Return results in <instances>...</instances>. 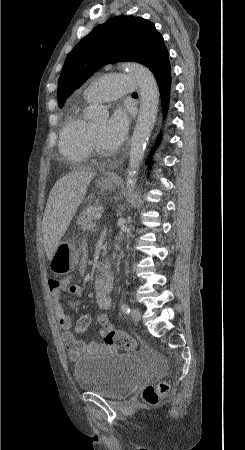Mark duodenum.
Returning a JSON list of instances; mask_svg holds the SVG:
<instances>
[{
    "instance_id": "obj_1",
    "label": "duodenum",
    "mask_w": 245,
    "mask_h": 450,
    "mask_svg": "<svg viewBox=\"0 0 245 450\" xmlns=\"http://www.w3.org/2000/svg\"><path fill=\"white\" fill-rule=\"evenodd\" d=\"M99 270H100L102 273H107V272H110V271H111V266H110V264H109L108 262H102V263H100V265H99Z\"/></svg>"
}]
</instances>
